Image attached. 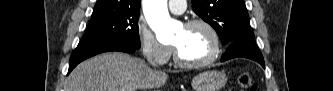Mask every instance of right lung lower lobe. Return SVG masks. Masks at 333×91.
Listing matches in <instances>:
<instances>
[{
    "mask_svg": "<svg viewBox=\"0 0 333 91\" xmlns=\"http://www.w3.org/2000/svg\"><path fill=\"white\" fill-rule=\"evenodd\" d=\"M135 50H137V48L128 46L118 41H100V42L81 41L79 42L77 48L71 55L68 74L80 62L94 55L109 51H121L126 53H132Z\"/></svg>",
    "mask_w": 333,
    "mask_h": 91,
    "instance_id": "right-lung-lower-lobe-1",
    "label": "right lung lower lobe"
}]
</instances>
